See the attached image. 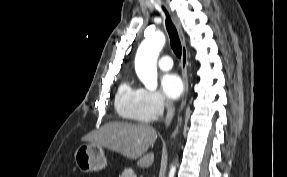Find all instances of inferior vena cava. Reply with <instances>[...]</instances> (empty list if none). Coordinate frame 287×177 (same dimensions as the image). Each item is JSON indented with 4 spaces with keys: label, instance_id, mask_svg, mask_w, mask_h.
<instances>
[{
    "label": "inferior vena cava",
    "instance_id": "602c4592",
    "mask_svg": "<svg viewBox=\"0 0 287 177\" xmlns=\"http://www.w3.org/2000/svg\"><path fill=\"white\" fill-rule=\"evenodd\" d=\"M166 107H167V115L165 119V124L168 127L172 121L175 110H174V106L171 101H166Z\"/></svg>",
    "mask_w": 287,
    "mask_h": 177
}]
</instances>
